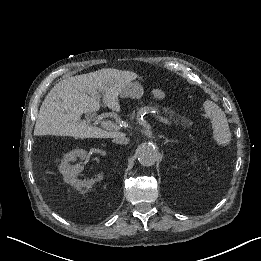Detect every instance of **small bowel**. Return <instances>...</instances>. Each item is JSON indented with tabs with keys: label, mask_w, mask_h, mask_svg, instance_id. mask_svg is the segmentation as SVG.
Instances as JSON below:
<instances>
[{
	"label": "small bowel",
	"mask_w": 261,
	"mask_h": 261,
	"mask_svg": "<svg viewBox=\"0 0 261 261\" xmlns=\"http://www.w3.org/2000/svg\"><path fill=\"white\" fill-rule=\"evenodd\" d=\"M152 94H153L154 97H156L158 99H163L165 97L164 92L159 88H154L152 90Z\"/></svg>",
	"instance_id": "small-bowel-1"
}]
</instances>
